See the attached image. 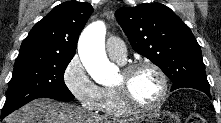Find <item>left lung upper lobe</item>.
I'll use <instances>...</instances> for the list:
<instances>
[{"label": "left lung upper lobe", "mask_w": 221, "mask_h": 123, "mask_svg": "<svg viewBox=\"0 0 221 123\" xmlns=\"http://www.w3.org/2000/svg\"><path fill=\"white\" fill-rule=\"evenodd\" d=\"M116 18L133 49L169 77L171 91L182 87L210 91L200 45L170 8L144 3L118 9Z\"/></svg>", "instance_id": "left-lung-upper-lobe-1"}]
</instances>
